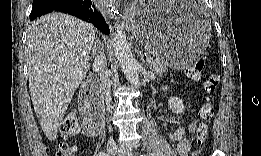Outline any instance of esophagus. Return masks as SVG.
Wrapping results in <instances>:
<instances>
[{"label": "esophagus", "instance_id": "1", "mask_svg": "<svg viewBox=\"0 0 261 156\" xmlns=\"http://www.w3.org/2000/svg\"><path fill=\"white\" fill-rule=\"evenodd\" d=\"M107 7V6H106ZM106 15L110 18H117L119 16L118 8L115 5H109L107 7Z\"/></svg>", "mask_w": 261, "mask_h": 156}]
</instances>
